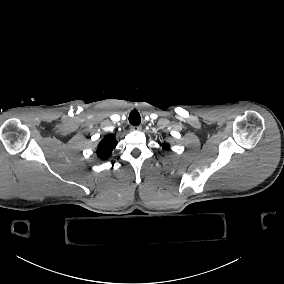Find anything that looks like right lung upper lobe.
<instances>
[{
  "label": "right lung upper lobe",
  "mask_w": 284,
  "mask_h": 284,
  "mask_svg": "<svg viewBox=\"0 0 284 284\" xmlns=\"http://www.w3.org/2000/svg\"><path fill=\"white\" fill-rule=\"evenodd\" d=\"M116 145L117 141L113 134L105 136L99 143L97 148L98 158H100L101 160L109 159Z\"/></svg>",
  "instance_id": "obj_1"
}]
</instances>
